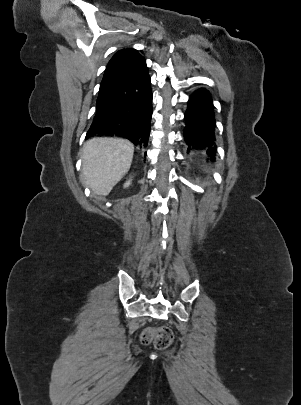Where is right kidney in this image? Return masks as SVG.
Masks as SVG:
<instances>
[{"mask_svg": "<svg viewBox=\"0 0 301 405\" xmlns=\"http://www.w3.org/2000/svg\"><path fill=\"white\" fill-rule=\"evenodd\" d=\"M131 184V181L129 180V181H127L125 184H124V187L126 188V187H129V185Z\"/></svg>", "mask_w": 301, "mask_h": 405, "instance_id": "ca27d5eb", "label": "right kidney"}]
</instances>
